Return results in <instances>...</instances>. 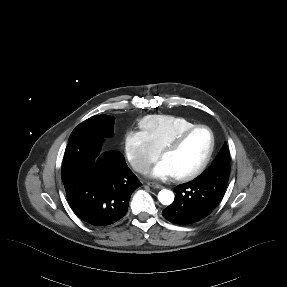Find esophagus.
Masks as SVG:
<instances>
[{
    "instance_id": "1",
    "label": "esophagus",
    "mask_w": 287,
    "mask_h": 287,
    "mask_svg": "<svg viewBox=\"0 0 287 287\" xmlns=\"http://www.w3.org/2000/svg\"><path fill=\"white\" fill-rule=\"evenodd\" d=\"M148 185L152 188H156V189H161L163 188L162 185L156 184V183H148Z\"/></svg>"
}]
</instances>
